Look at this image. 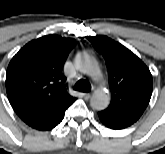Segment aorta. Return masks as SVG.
<instances>
[{
  "mask_svg": "<svg viewBox=\"0 0 165 154\" xmlns=\"http://www.w3.org/2000/svg\"><path fill=\"white\" fill-rule=\"evenodd\" d=\"M76 68L85 74L97 77L101 70L95 58L87 53H79L75 57ZM110 103V95L104 90H96L91 97V107L95 110H104Z\"/></svg>",
  "mask_w": 165,
  "mask_h": 154,
  "instance_id": "762f6f07",
  "label": "aorta"
}]
</instances>
